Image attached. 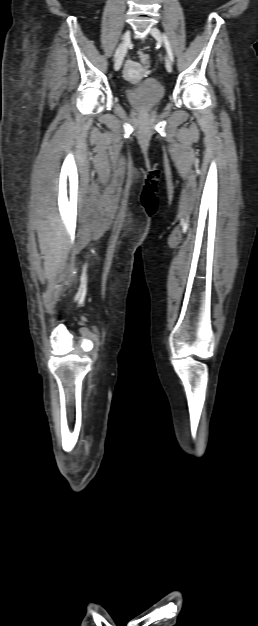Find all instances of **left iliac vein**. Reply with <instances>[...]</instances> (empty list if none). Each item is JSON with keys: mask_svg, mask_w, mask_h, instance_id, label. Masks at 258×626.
Instances as JSON below:
<instances>
[{"mask_svg": "<svg viewBox=\"0 0 258 626\" xmlns=\"http://www.w3.org/2000/svg\"><path fill=\"white\" fill-rule=\"evenodd\" d=\"M150 33L158 42L162 43L163 41L162 34L158 28L152 27ZM165 67L168 72H172L173 70L172 63L170 59L168 58V56H166L165 58Z\"/></svg>", "mask_w": 258, "mask_h": 626, "instance_id": "4c4485c4", "label": "left iliac vein"}]
</instances>
